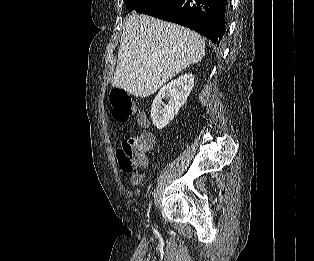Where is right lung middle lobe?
I'll return each instance as SVG.
<instances>
[{
    "label": "right lung middle lobe",
    "instance_id": "right-lung-middle-lobe-1",
    "mask_svg": "<svg viewBox=\"0 0 314 261\" xmlns=\"http://www.w3.org/2000/svg\"><path fill=\"white\" fill-rule=\"evenodd\" d=\"M165 0H126L129 10H135L137 13H146L152 8L160 5Z\"/></svg>",
    "mask_w": 314,
    "mask_h": 261
}]
</instances>
